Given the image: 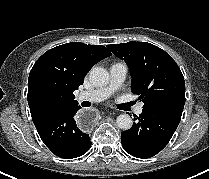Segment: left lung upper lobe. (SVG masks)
Wrapping results in <instances>:
<instances>
[{
  "label": "left lung upper lobe",
  "mask_w": 209,
  "mask_h": 179,
  "mask_svg": "<svg viewBox=\"0 0 209 179\" xmlns=\"http://www.w3.org/2000/svg\"><path fill=\"white\" fill-rule=\"evenodd\" d=\"M129 67L131 90L143 109L183 111L185 82L176 62L159 47L147 42L107 46Z\"/></svg>",
  "instance_id": "left-lung-upper-lobe-1"
}]
</instances>
